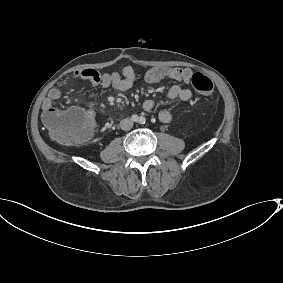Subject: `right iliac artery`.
I'll return each instance as SVG.
<instances>
[{
	"instance_id": "1",
	"label": "right iliac artery",
	"mask_w": 283,
	"mask_h": 283,
	"mask_svg": "<svg viewBox=\"0 0 283 283\" xmlns=\"http://www.w3.org/2000/svg\"><path fill=\"white\" fill-rule=\"evenodd\" d=\"M131 118H132L133 121H137L138 120V116L137 115H132Z\"/></svg>"
}]
</instances>
